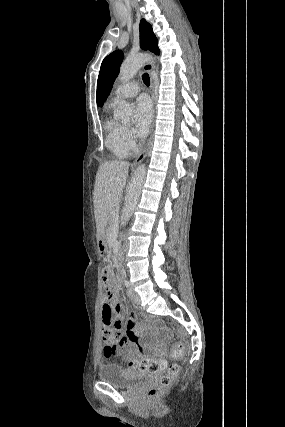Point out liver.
I'll return each mask as SVG.
<instances>
[{"label":"liver","instance_id":"6515ba94","mask_svg":"<svg viewBox=\"0 0 285 427\" xmlns=\"http://www.w3.org/2000/svg\"><path fill=\"white\" fill-rule=\"evenodd\" d=\"M129 163L124 161L104 162L99 166L94 185V214L97 234L104 233L110 214L123 195L128 178Z\"/></svg>","mask_w":285,"mask_h":427}]
</instances>
